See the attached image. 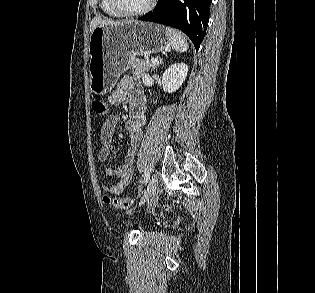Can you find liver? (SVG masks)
<instances>
[{
    "instance_id": "liver-1",
    "label": "liver",
    "mask_w": 315,
    "mask_h": 293,
    "mask_svg": "<svg viewBox=\"0 0 315 293\" xmlns=\"http://www.w3.org/2000/svg\"><path fill=\"white\" fill-rule=\"evenodd\" d=\"M125 22L113 21L111 19H102L101 17H95L90 23V32H92L98 26L104 25H120Z\"/></svg>"
}]
</instances>
